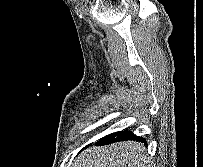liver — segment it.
I'll return each instance as SVG.
<instances>
[{
	"label": "liver",
	"mask_w": 203,
	"mask_h": 167,
	"mask_svg": "<svg viewBox=\"0 0 203 167\" xmlns=\"http://www.w3.org/2000/svg\"><path fill=\"white\" fill-rule=\"evenodd\" d=\"M145 147L138 142H119L92 147L80 154L72 167H148Z\"/></svg>",
	"instance_id": "liver-1"
}]
</instances>
